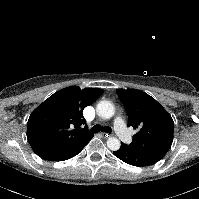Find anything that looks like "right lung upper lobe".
Returning a JSON list of instances; mask_svg holds the SVG:
<instances>
[{
	"mask_svg": "<svg viewBox=\"0 0 199 199\" xmlns=\"http://www.w3.org/2000/svg\"><path fill=\"white\" fill-rule=\"evenodd\" d=\"M102 94V89L72 86L40 104L27 123V139L34 152L57 151L91 136L82 112Z\"/></svg>",
	"mask_w": 199,
	"mask_h": 199,
	"instance_id": "1",
	"label": "right lung upper lobe"
}]
</instances>
